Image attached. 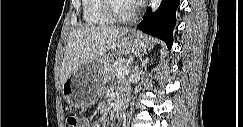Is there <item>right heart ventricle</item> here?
Returning a JSON list of instances; mask_svg holds the SVG:
<instances>
[{"label":"right heart ventricle","mask_w":243,"mask_h":127,"mask_svg":"<svg viewBox=\"0 0 243 127\" xmlns=\"http://www.w3.org/2000/svg\"><path fill=\"white\" fill-rule=\"evenodd\" d=\"M104 0H83L82 17L89 26H102L112 23L104 9Z\"/></svg>","instance_id":"1"}]
</instances>
